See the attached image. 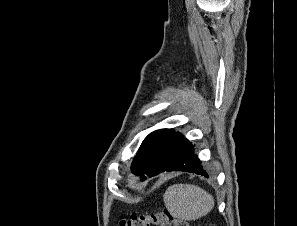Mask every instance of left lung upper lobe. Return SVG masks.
I'll return each instance as SVG.
<instances>
[{"label": "left lung upper lobe", "instance_id": "obj_1", "mask_svg": "<svg viewBox=\"0 0 297 226\" xmlns=\"http://www.w3.org/2000/svg\"><path fill=\"white\" fill-rule=\"evenodd\" d=\"M176 133L173 129H160L150 133L141 144L132 163L134 174L149 175L160 160Z\"/></svg>", "mask_w": 297, "mask_h": 226}]
</instances>
